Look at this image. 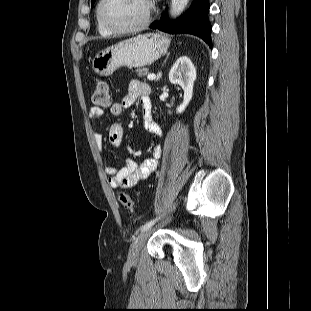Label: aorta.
<instances>
[{"instance_id": "762f6f07", "label": "aorta", "mask_w": 311, "mask_h": 311, "mask_svg": "<svg viewBox=\"0 0 311 311\" xmlns=\"http://www.w3.org/2000/svg\"><path fill=\"white\" fill-rule=\"evenodd\" d=\"M189 0H171L170 14L172 17L179 16L185 9Z\"/></svg>"}]
</instances>
